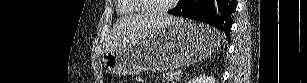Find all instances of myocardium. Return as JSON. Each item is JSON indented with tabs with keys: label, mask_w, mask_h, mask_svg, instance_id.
<instances>
[{
	"label": "myocardium",
	"mask_w": 307,
	"mask_h": 83,
	"mask_svg": "<svg viewBox=\"0 0 307 83\" xmlns=\"http://www.w3.org/2000/svg\"><path fill=\"white\" fill-rule=\"evenodd\" d=\"M130 1L133 2L142 12H146V13H150L154 15H160V14H165L169 12L171 8L173 7V4L178 2V0H170V2L167 3L165 6H162L156 10H149L147 9L145 5L142 4L143 0H130Z\"/></svg>",
	"instance_id": "1"
}]
</instances>
